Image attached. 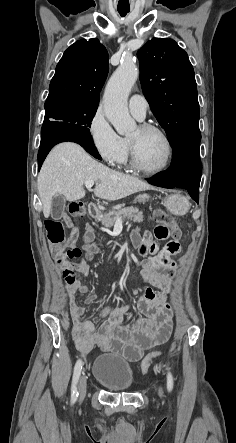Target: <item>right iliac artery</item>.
Segmentation results:
<instances>
[{
  "mask_svg": "<svg viewBox=\"0 0 236 443\" xmlns=\"http://www.w3.org/2000/svg\"><path fill=\"white\" fill-rule=\"evenodd\" d=\"M82 361L78 360L75 368H74V374H73V380H72V387H71V402L74 403L77 400L78 397V391H77V384H78V380L81 374V369H82Z\"/></svg>",
  "mask_w": 236,
  "mask_h": 443,
  "instance_id": "right-iliac-artery-1",
  "label": "right iliac artery"
}]
</instances>
